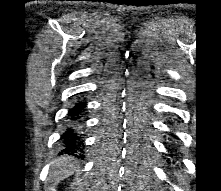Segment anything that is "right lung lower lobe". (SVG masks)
Wrapping results in <instances>:
<instances>
[{
  "label": "right lung lower lobe",
  "mask_w": 221,
  "mask_h": 191,
  "mask_svg": "<svg viewBox=\"0 0 221 191\" xmlns=\"http://www.w3.org/2000/svg\"><path fill=\"white\" fill-rule=\"evenodd\" d=\"M86 102H78L68 113L69 124L62 135L63 152L76 156L74 153L83 152L82 134L79 126L83 122Z\"/></svg>",
  "instance_id": "1"
}]
</instances>
